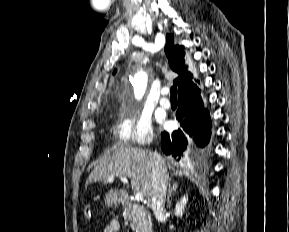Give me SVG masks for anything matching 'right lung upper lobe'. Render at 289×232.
Listing matches in <instances>:
<instances>
[{
  "mask_svg": "<svg viewBox=\"0 0 289 232\" xmlns=\"http://www.w3.org/2000/svg\"><path fill=\"white\" fill-rule=\"evenodd\" d=\"M173 43V36L167 34L165 53L171 69L179 74V77L174 80V84L178 85V94L182 96L199 89L192 82L193 75L187 70L188 66L185 64L184 59V47L179 45L173 46Z\"/></svg>",
  "mask_w": 289,
  "mask_h": 232,
  "instance_id": "obj_1",
  "label": "right lung upper lobe"
}]
</instances>
